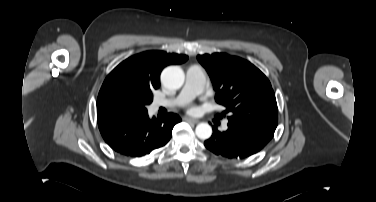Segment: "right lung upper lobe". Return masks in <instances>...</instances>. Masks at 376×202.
I'll list each match as a JSON object with an SVG mask.
<instances>
[{
    "instance_id": "obj_1",
    "label": "right lung upper lobe",
    "mask_w": 376,
    "mask_h": 202,
    "mask_svg": "<svg viewBox=\"0 0 376 202\" xmlns=\"http://www.w3.org/2000/svg\"><path fill=\"white\" fill-rule=\"evenodd\" d=\"M188 59L186 55L169 54L164 51L143 52L120 63L105 79L97 100L98 124H104L125 115L113 112L105 107L102 94L108 86L120 81L130 80L151 88H159L160 73L170 64H181Z\"/></svg>"
}]
</instances>
